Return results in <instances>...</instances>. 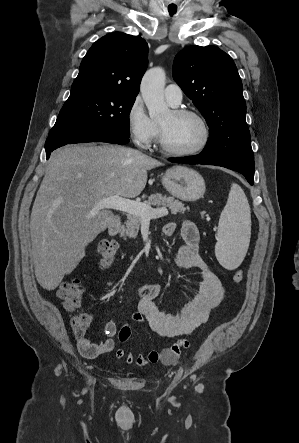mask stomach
Returning a JSON list of instances; mask_svg holds the SVG:
<instances>
[{"label": "stomach", "mask_w": 299, "mask_h": 443, "mask_svg": "<svg viewBox=\"0 0 299 443\" xmlns=\"http://www.w3.org/2000/svg\"><path fill=\"white\" fill-rule=\"evenodd\" d=\"M165 189L174 197L183 201L200 199L206 190L203 177L195 170L184 166H175L162 177Z\"/></svg>", "instance_id": "obj_1"}]
</instances>
